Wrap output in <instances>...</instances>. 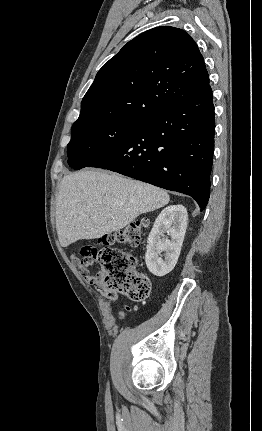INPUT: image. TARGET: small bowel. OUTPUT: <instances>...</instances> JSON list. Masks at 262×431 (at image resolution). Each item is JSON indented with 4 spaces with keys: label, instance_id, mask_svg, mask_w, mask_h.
Wrapping results in <instances>:
<instances>
[{
    "label": "small bowel",
    "instance_id": "c3829d8e",
    "mask_svg": "<svg viewBox=\"0 0 262 431\" xmlns=\"http://www.w3.org/2000/svg\"><path fill=\"white\" fill-rule=\"evenodd\" d=\"M85 280L87 283L95 285L99 293L109 301L115 303L120 299V296L116 291L109 290L102 286L100 283L95 281L91 275H85Z\"/></svg>",
    "mask_w": 262,
    "mask_h": 431
}]
</instances>
